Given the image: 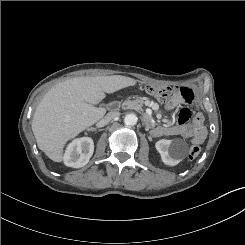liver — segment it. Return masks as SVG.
Wrapping results in <instances>:
<instances>
[{"label": "liver", "mask_w": 245, "mask_h": 245, "mask_svg": "<svg viewBox=\"0 0 245 245\" xmlns=\"http://www.w3.org/2000/svg\"><path fill=\"white\" fill-rule=\"evenodd\" d=\"M137 81L122 75L75 77L51 88L36 107L32 131L38 147L51 160H63L65 144L106 113L94 105Z\"/></svg>", "instance_id": "1"}]
</instances>
